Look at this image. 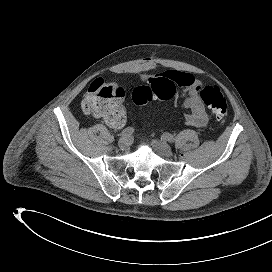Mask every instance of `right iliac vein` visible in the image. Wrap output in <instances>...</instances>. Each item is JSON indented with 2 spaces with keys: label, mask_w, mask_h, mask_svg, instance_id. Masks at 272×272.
<instances>
[{
  "label": "right iliac vein",
  "mask_w": 272,
  "mask_h": 272,
  "mask_svg": "<svg viewBox=\"0 0 272 272\" xmlns=\"http://www.w3.org/2000/svg\"><path fill=\"white\" fill-rule=\"evenodd\" d=\"M118 146L120 147V149H126L129 146V139L126 137H122L119 139L118 141Z\"/></svg>",
  "instance_id": "right-iliac-vein-1"
}]
</instances>
